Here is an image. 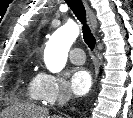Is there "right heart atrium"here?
Listing matches in <instances>:
<instances>
[{"instance_id":"d8ad5b80","label":"right heart atrium","mask_w":133,"mask_h":118,"mask_svg":"<svg viewBox=\"0 0 133 118\" xmlns=\"http://www.w3.org/2000/svg\"><path fill=\"white\" fill-rule=\"evenodd\" d=\"M37 87L41 101L47 104H53L60 99L69 97L66 81L51 73H39L37 75Z\"/></svg>"}]
</instances>
